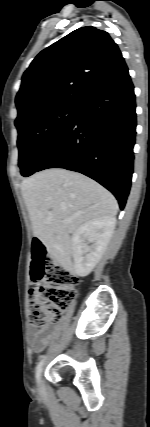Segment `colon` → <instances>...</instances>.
<instances>
[{"label":"colon","instance_id":"obj_1","mask_svg":"<svg viewBox=\"0 0 150 427\" xmlns=\"http://www.w3.org/2000/svg\"><path fill=\"white\" fill-rule=\"evenodd\" d=\"M31 252V276L39 284L29 289L28 317L32 325L44 327L57 322L68 308L79 279L52 259L39 239L32 241Z\"/></svg>","mask_w":150,"mask_h":427}]
</instances>
